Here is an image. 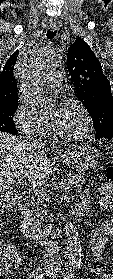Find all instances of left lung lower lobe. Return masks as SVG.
Wrapping results in <instances>:
<instances>
[{
	"label": "left lung lower lobe",
	"mask_w": 113,
	"mask_h": 279,
	"mask_svg": "<svg viewBox=\"0 0 113 279\" xmlns=\"http://www.w3.org/2000/svg\"><path fill=\"white\" fill-rule=\"evenodd\" d=\"M100 138H107V139H112L113 138V133H106L104 136H96L95 139H100Z\"/></svg>",
	"instance_id": "0a47b994"
}]
</instances>
